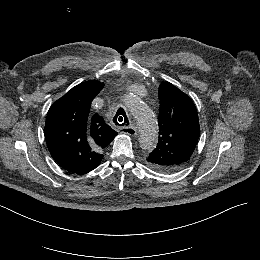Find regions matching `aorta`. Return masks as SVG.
<instances>
[{
    "label": "aorta",
    "mask_w": 260,
    "mask_h": 260,
    "mask_svg": "<svg viewBox=\"0 0 260 260\" xmlns=\"http://www.w3.org/2000/svg\"><path fill=\"white\" fill-rule=\"evenodd\" d=\"M125 105L137 121L139 128L140 147L144 150H153L158 142V123L153 112L135 95L125 99Z\"/></svg>",
    "instance_id": "obj_1"
}]
</instances>
